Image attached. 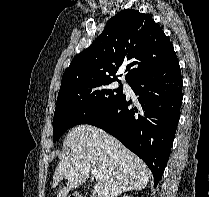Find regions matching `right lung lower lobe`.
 <instances>
[{"instance_id":"1","label":"right lung lower lobe","mask_w":209,"mask_h":197,"mask_svg":"<svg viewBox=\"0 0 209 197\" xmlns=\"http://www.w3.org/2000/svg\"><path fill=\"white\" fill-rule=\"evenodd\" d=\"M138 107L125 95L88 121L116 137L151 170L155 187L170 155L182 104V77L175 52L129 83Z\"/></svg>"}]
</instances>
